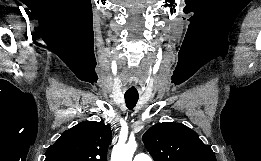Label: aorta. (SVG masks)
<instances>
[{
    "mask_svg": "<svg viewBox=\"0 0 261 161\" xmlns=\"http://www.w3.org/2000/svg\"><path fill=\"white\" fill-rule=\"evenodd\" d=\"M136 148L135 141H129L127 144H117L113 148L111 161H132Z\"/></svg>",
    "mask_w": 261,
    "mask_h": 161,
    "instance_id": "1",
    "label": "aorta"
}]
</instances>
